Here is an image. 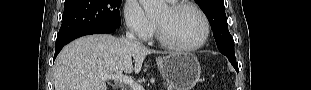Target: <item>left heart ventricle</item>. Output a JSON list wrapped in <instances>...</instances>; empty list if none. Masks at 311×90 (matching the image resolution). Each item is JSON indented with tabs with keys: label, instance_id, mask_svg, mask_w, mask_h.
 <instances>
[{
	"label": "left heart ventricle",
	"instance_id": "obj_1",
	"mask_svg": "<svg viewBox=\"0 0 311 90\" xmlns=\"http://www.w3.org/2000/svg\"><path fill=\"white\" fill-rule=\"evenodd\" d=\"M166 38L177 45H191L200 40L204 25L200 16L189 8L171 13L165 8L155 19Z\"/></svg>",
	"mask_w": 311,
	"mask_h": 90
}]
</instances>
